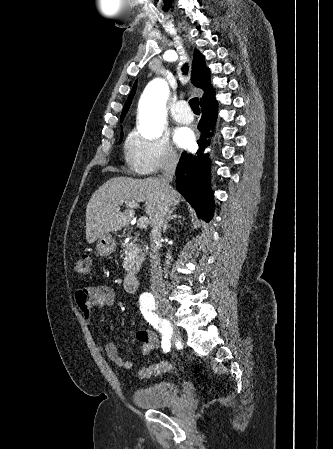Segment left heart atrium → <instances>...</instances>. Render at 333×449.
Masks as SVG:
<instances>
[{
	"instance_id": "obj_1",
	"label": "left heart atrium",
	"mask_w": 333,
	"mask_h": 449,
	"mask_svg": "<svg viewBox=\"0 0 333 449\" xmlns=\"http://www.w3.org/2000/svg\"><path fill=\"white\" fill-rule=\"evenodd\" d=\"M194 141V135L189 129H181L175 134V142L180 147H188Z\"/></svg>"
}]
</instances>
